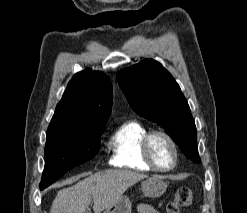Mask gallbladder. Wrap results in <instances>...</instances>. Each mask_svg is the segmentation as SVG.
Masks as SVG:
<instances>
[{"label":"gallbladder","instance_id":"obj_1","mask_svg":"<svg viewBox=\"0 0 247 213\" xmlns=\"http://www.w3.org/2000/svg\"><path fill=\"white\" fill-rule=\"evenodd\" d=\"M85 213H91V212H89V211H86Z\"/></svg>","mask_w":247,"mask_h":213}]
</instances>
